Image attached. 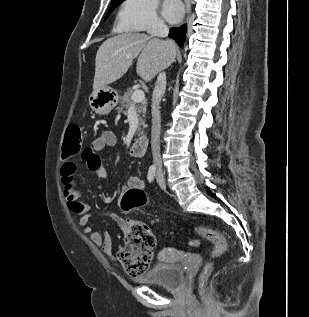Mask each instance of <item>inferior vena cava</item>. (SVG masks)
<instances>
[{
	"label": "inferior vena cava",
	"instance_id": "602c4592",
	"mask_svg": "<svg viewBox=\"0 0 309 317\" xmlns=\"http://www.w3.org/2000/svg\"><path fill=\"white\" fill-rule=\"evenodd\" d=\"M169 29L162 21H155L150 29L152 37H166ZM166 90V74L160 72L152 94V128H151V149L153 155L154 166L157 171L162 170V161L160 154V131H161V117H160V102Z\"/></svg>",
	"mask_w": 309,
	"mask_h": 317
}]
</instances>
